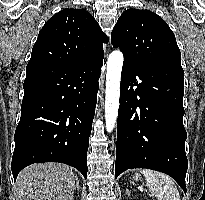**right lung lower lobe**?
Instances as JSON below:
<instances>
[{
  "label": "right lung lower lobe",
  "instance_id": "98d812e1",
  "mask_svg": "<svg viewBox=\"0 0 205 200\" xmlns=\"http://www.w3.org/2000/svg\"><path fill=\"white\" fill-rule=\"evenodd\" d=\"M103 57L27 65L12 157L14 180L33 163L61 162L87 177V150Z\"/></svg>",
  "mask_w": 205,
  "mask_h": 200
}]
</instances>
